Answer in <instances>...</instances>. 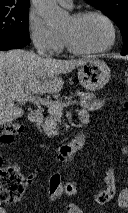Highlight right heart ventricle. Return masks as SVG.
Wrapping results in <instances>:
<instances>
[{"mask_svg":"<svg viewBox=\"0 0 128 213\" xmlns=\"http://www.w3.org/2000/svg\"><path fill=\"white\" fill-rule=\"evenodd\" d=\"M61 38H62V47L61 49L65 46V41H64V38H63V35L61 34Z\"/></svg>","mask_w":128,"mask_h":213,"instance_id":"obj_1","label":"right heart ventricle"}]
</instances>
